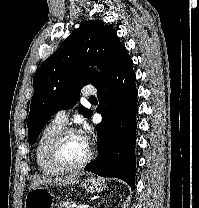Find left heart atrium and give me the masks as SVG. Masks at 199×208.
<instances>
[{"instance_id":"obj_1","label":"left heart atrium","mask_w":199,"mask_h":208,"mask_svg":"<svg viewBox=\"0 0 199 208\" xmlns=\"http://www.w3.org/2000/svg\"><path fill=\"white\" fill-rule=\"evenodd\" d=\"M89 133H90V128L88 127L87 124H84L81 136L87 143H88V139H89Z\"/></svg>"}]
</instances>
